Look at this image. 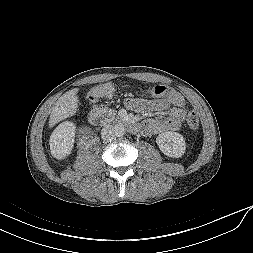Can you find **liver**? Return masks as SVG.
I'll use <instances>...</instances> for the list:
<instances>
[{"label": "liver", "instance_id": "obj_1", "mask_svg": "<svg viewBox=\"0 0 253 253\" xmlns=\"http://www.w3.org/2000/svg\"><path fill=\"white\" fill-rule=\"evenodd\" d=\"M78 91V88L72 89L58 99L50 114V128L55 126L58 122L75 115L79 105V99L77 96Z\"/></svg>", "mask_w": 253, "mask_h": 253}]
</instances>
